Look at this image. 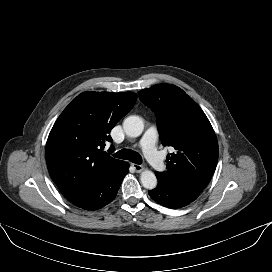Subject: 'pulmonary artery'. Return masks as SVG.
<instances>
[{
  "instance_id": "obj_1",
  "label": "pulmonary artery",
  "mask_w": 272,
  "mask_h": 272,
  "mask_svg": "<svg viewBox=\"0 0 272 272\" xmlns=\"http://www.w3.org/2000/svg\"><path fill=\"white\" fill-rule=\"evenodd\" d=\"M157 136L156 128L150 127L143 135L140 141V146L150 164L156 170L161 171L165 168V163L162 156L156 149Z\"/></svg>"
}]
</instances>
